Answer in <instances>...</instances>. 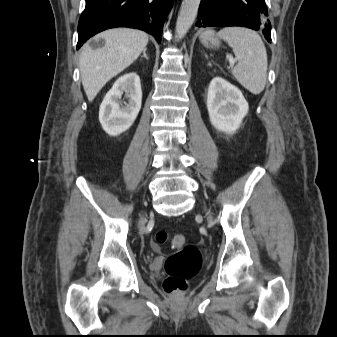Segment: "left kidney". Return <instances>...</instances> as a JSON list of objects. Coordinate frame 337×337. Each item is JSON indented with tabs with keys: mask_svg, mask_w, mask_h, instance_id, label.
<instances>
[{
	"mask_svg": "<svg viewBox=\"0 0 337 337\" xmlns=\"http://www.w3.org/2000/svg\"><path fill=\"white\" fill-rule=\"evenodd\" d=\"M207 109L211 124L219 131L233 134L247 115L249 106L241 91L222 77L210 82Z\"/></svg>",
	"mask_w": 337,
	"mask_h": 337,
	"instance_id": "obj_1",
	"label": "left kidney"
}]
</instances>
